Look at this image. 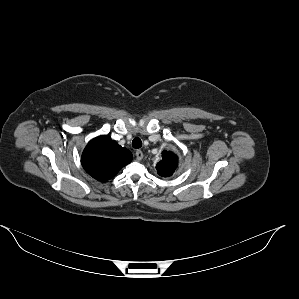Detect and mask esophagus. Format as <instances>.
Instances as JSON below:
<instances>
[{"mask_svg": "<svg viewBox=\"0 0 299 299\" xmlns=\"http://www.w3.org/2000/svg\"><path fill=\"white\" fill-rule=\"evenodd\" d=\"M135 155H136V159L138 160V161H140V160H142V158H143V152L141 151V150H137L136 151V153H135Z\"/></svg>", "mask_w": 299, "mask_h": 299, "instance_id": "obj_1", "label": "esophagus"}]
</instances>
